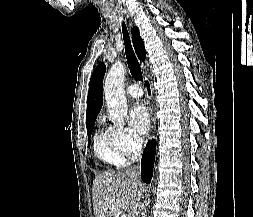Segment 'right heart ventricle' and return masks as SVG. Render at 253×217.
<instances>
[{"instance_id":"1","label":"right heart ventricle","mask_w":253,"mask_h":217,"mask_svg":"<svg viewBox=\"0 0 253 217\" xmlns=\"http://www.w3.org/2000/svg\"><path fill=\"white\" fill-rule=\"evenodd\" d=\"M93 149L95 156L107 165L118 168L127 165V159L115 143L109 129H98L95 132Z\"/></svg>"}]
</instances>
